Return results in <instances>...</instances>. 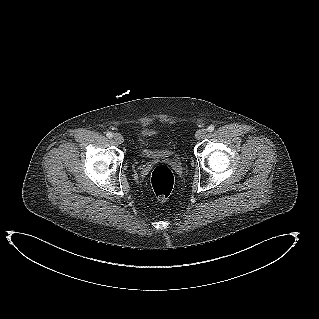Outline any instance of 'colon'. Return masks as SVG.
Returning a JSON list of instances; mask_svg holds the SVG:
<instances>
[{
	"mask_svg": "<svg viewBox=\"0 0 319 319\" xmlns=\"http://www.w3.org/2000/svg\"><path fill=\"white\" fill-rule=\"evenodd\" d=\"M150 182L156 197L165 200L174 188L175 178L168 166L158 165L151 173Z\"/></svg>",
	"mask_w": 319,
	"mask_h": 319,
	"instance_id": "colon-1",
	"label": "colon"
}]
</instances>
